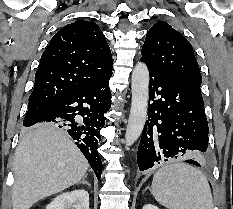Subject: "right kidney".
Here are the masks:
<instances>
[{
  "label": "right kidney",
  "instance_id": "1",
  "mask_svg": "<svg viewBox=\"0 0 233 209\" xmlns=\"http://www.w3.org/2000/svg\"><path fill=\"white\" fill-rule=\"evenodd\" d=\"M73 205L75 209H89V194L86 190L79 189L60 194L47 205L46 209H67Z\"/></svg>",
  "mask_w": 233,
  "mask_h": 209
}]
</instances>
